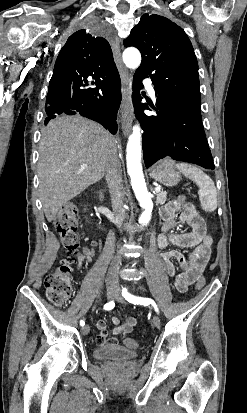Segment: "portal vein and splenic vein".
<instances>
[{
  "label": "portal vein and splenic vein",
  "mask_w": 247,
  "mask_h": 413,
  "mask_svg": "<svg viewBox=\"0 0 247 413\" xmlns=\"http://www.w3.org/2000/svg\"><path fill=\"white\" fill-rule=\"evenodd\" d=\"M155 190H157V192H159L160 188H155Z\"/></svg>",
  "instance_id": "portal-vein-and-splenic-vein-1"
}]
</instances>
